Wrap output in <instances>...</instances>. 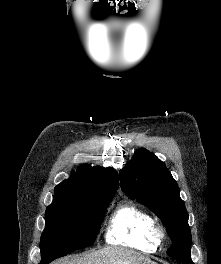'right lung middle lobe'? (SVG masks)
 Segmentation results:
<instances>
[{
  "instance_id": "right-lung-middle-lobe-1",
  "label": "right lung middle lobe",
  "mask_w": 221,
  "mask_h": 264,
  "mask_svg": "<svg viewBox=\"0 0 221 264\" xmlns=\"http://www.w3.org/2000/svg\"><path fill=\"white\" fill-rule=\"evenodd\" d=\"M113 195L91 198L73 205L52 203L46 209V225L41 236V263L91 245L100 231Z\"/></svg>"
}]
</instances>
